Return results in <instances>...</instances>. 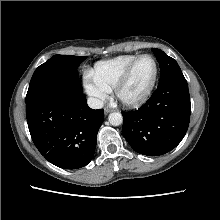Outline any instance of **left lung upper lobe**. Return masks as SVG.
<instances>
[{"label": "left lung upper lobe", "instance_id": "obj_1", "mask_svg": "<svg viewBox=\"0 0 220 220\" xmlns=\"http://www.w3.org/2000/svg\"><path fill=\"white\" fill-rule=\"evenodd\" d=\"M152 51L160 66L161 76L159 84H162L169 79L183 76L179 65L173 58L157 48H152Z\"/></svg>", "mask_w": 220, "mask_h": 220}]
</instances>
